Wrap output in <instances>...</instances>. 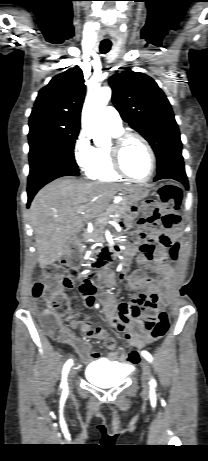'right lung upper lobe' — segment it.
Returning <instances> with one entry per match:
<instances>
[{
	"label": "right lung upper lobe",
	"mask_w": 208,
	"mask_h": 461,
	"mask_svg": "<svg viewBox=\"0 0 208 461\" xmlns=\"http://www.w3.org/2000/svg\"><path fill=\"white\" fill-rule=\"evenodd\" d=\"M84 96L82 70L78 67L68 69L39 91L30 119H56L80 126Z\"/></svg>",
	"instance_id": "1"
}]
</instances>
